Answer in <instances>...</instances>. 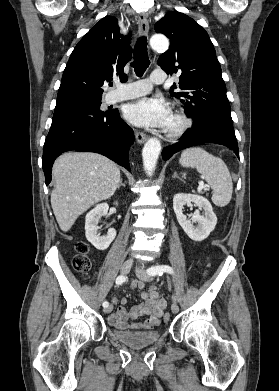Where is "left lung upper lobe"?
Masks as SVG:
<instances>
[{
  "mask_svg": "<svg viewBox=\"0 0 279 391\" xmlns=\"http://www.w3.org/2000/svg\"><path fill=\"white\" fill-rule=\"evenodd\" d=\"M155 31L170 39V48L159 57L158 65L168 74H180L179 85L171 91L183 103L185 114L193 122L212 116L233 123L221 67L205 29L174 11L155 24Z\"/></svg>",
  "mask_w": 279,
  "mask_h": 391,
  "instance_id": "obj_1",
  "label": "left lung upper lobe"
}]
</instances>
